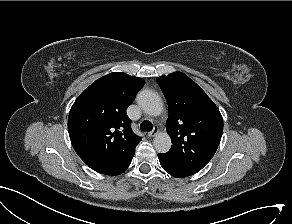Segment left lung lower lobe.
Here are the masks:
<instances>
[{
	"label": "left lung lower lobe",
	"instance_id": "0a47b994",
	"mask_svg": "<svg viewBox=\"0 0 292 224\" xmlns=\"http://www.w3.org/2000/svg\"><path fill=\"white\" fill-rule=\"evenodd\" d=\"M158 158H159V161H160V164H161L162 168L167 173L172 175L173 177H187V176H191V175L194 174V173H191L189 171H186L184 169H181V168L175 166L171 162L161 158L159 154H158Z\"/></svg>",
	"mask_w": 292,
	"mask_h": 224
}]
</instances>
